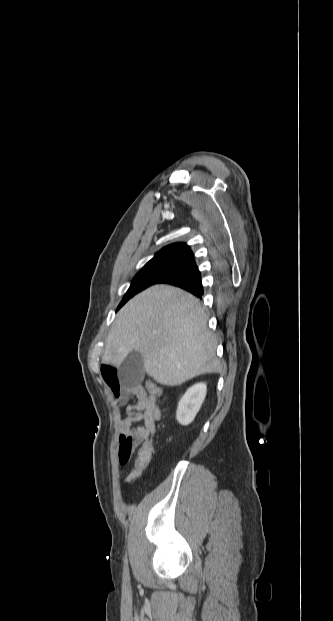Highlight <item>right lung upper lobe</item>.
<instances>
[{
	"label": "right lung upper lobe",
	"mask_w": 333,
	"mask_h": 621,
	"mask_svg": "<svg viewBox=\"0 0 333 621\" xmlns=\"http://www.w3.org/2000/svg\"><path fill=\"white\" fill-rule=\"evenodd\" d=\"M193 256V252L189 246L185 243H174L162 248L155 256L150 260H160L165 258H179L188 260Z\"/></svg>",
	"instance_id": "cb5924a9"
}]
</instances>
